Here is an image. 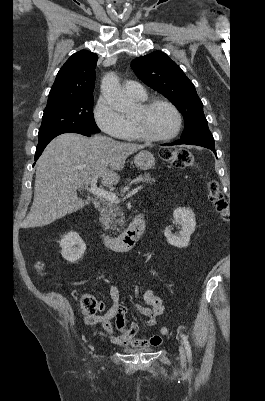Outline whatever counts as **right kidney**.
<instances>
[{
  "mask_svg": "<svg viewBox=\"0 0 265 401\" xmlns=\"http://www.w3.org/2000/svg\"><path fill=\"white\" fill-rule=\"evenodd\" d=\"M60 247L62 249V257L69 263H76L86 251V245L78 233H67L62 239Z\"/></svg>",
  "mask_w": 265,
  "mask_h": 401,
  "instance_id": "ca27d5eb",
  "label": "right kidney"
}]
</instances>
